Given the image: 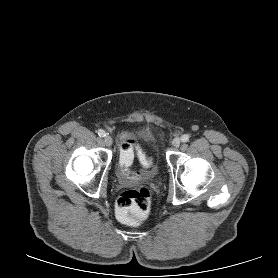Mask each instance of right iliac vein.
Masks as SVG:
<instances>
[{"mask_svg": "<svg viewBox=\"0 0 278 278\" xmlns=\"http://www.w3.org/2000/svg\"><path fill=\"white\" fill-rule=\"evenodd\" d=\"M104 142L107 146H111L113 144V140L109 135L105 136Z\"/></svg>", "mask_w": 278, "mask_h": 278, "instance_id": "right-iliac-vein-1", "label": "right iliac vein"}]
</instances>
